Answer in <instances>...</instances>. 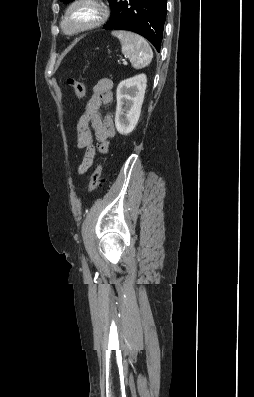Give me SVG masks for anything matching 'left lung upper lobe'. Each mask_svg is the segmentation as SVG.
Returning <instances> with one entry per match:
<instances>
[{
	"label": "left lung upper lobe",
	"mask_w": 254,
	"mask_h": 397,
	"mask_svg": "<svg viewBox=\"0 0 254 397\" xmlns=\"http://www.w3.org/2000/svg\"><path fill=\"white\" fill-rule=\"evenodd\" d=\"M63 3H68V2H71V1H73V0H61ZM109 1V3H111L113 0H108Z\"/></svg>",
	"instance_id": "obj_1"
}]
</instances>
